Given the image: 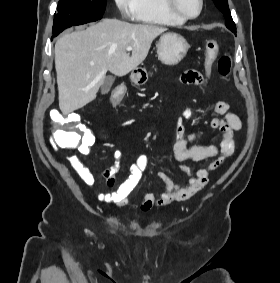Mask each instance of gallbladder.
<instances>
[{"instance_id": "bac80fb5", "label": "gallbladder", "mask_w": 280, "mask_h": 283, "mask_svg": "<svg viewBox=\"0 0 280 283\" xmlns=\"http://www.w3.org/2000/svg\"><path fill=\"white\" fill-rule=\"evenodd\" d=\"M114 82H115V77H113L112 75L106 76L101 86V93L102 94L108 93Z\"/></svg>"}]
</instances>
